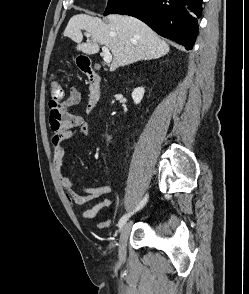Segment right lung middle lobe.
Masks as SVG:
<instances>
[{
  "mask_svg": "<svg viewBox=\"0 0 249 294\" xmlns=\"http://www.w3.org/2000/svg\"><path fill=\"white\" fill-rule=\"evenodd\" d=\"M127 1L128 0H108L104 15L117 13Z\"/></svg>",
  "mask_w": 249,
  "mask_h": 294,
  "instance_id": "right-lung-middle-lobe-1",
  "label": "right lung middle lobe"
}]
</instances>
